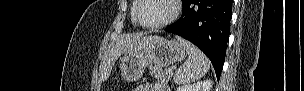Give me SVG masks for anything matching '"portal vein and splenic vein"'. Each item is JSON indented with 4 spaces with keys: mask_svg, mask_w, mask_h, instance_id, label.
<instances>
[{
    "mask_svg": "<svg viewBox=\"0 0 304 91\" xmlns=\"http://www.w3.org/2000/svg\"><path fill=\"white\" fill-rule=\"evenodd\" d=\"M168 71L172 73L173 72V68H169Z\"/></svg>",
    "mask_w": 304,
    "mask_h": 91,
    "instance_id": "1",
    "label": "portal vein and splenic vein"
}]
</instances>
